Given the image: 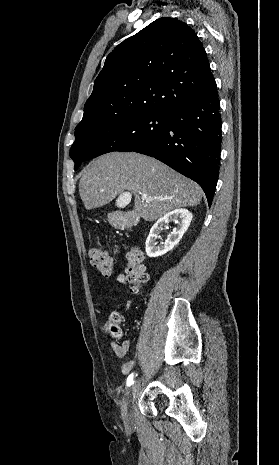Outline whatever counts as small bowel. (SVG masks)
<instances>
[{
    "label": "small bowel",
    "instance_id": "small-bowel-1",
    "mask_svg": "<svg viewBox=\"0 0 279 465\" xmlns=\"http://www.w3.org/2000/svg\"><path fill=\"white\" fill-rule=\"evenodd\" d=\"M117 281L121 284H126L127 281H126V278L123 276V275H118L117 276ZM131 305V300H127L125 305H124V308L125 309H128ZM110 346L112 348V350L114 351L115 355L118 357V358H124L125 355L127 354L129 348H130V342L128 339H125L122 341L121 344H117L115 342H111L110 343ZM135 366V361L134 360H126L122 363V366H121V372L122 374L124 375H127L128 373L131 372V370L133 369V367Z\"/></svg>",
    "mask_w": 279,
    "mask_h": 465
}]
</instances>
